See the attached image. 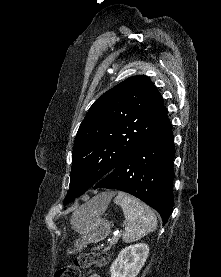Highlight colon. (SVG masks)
<instances>
[{
    "mask_svg": "<svg viewBox=\"0 0 221 277\" xmlns=\"http://www.w3.org/2000/svg\"><path fill=\"white\" fill-rule=\"evenodd\" d=\"M107 256L102 253H85L77 257L72 264L60 268L55 277H81V271L89 266H104Z\"/></svg>",
    "mask_w": 221,
    "mask_h": 277,
    "instance_id": "1",
    "label": "colon"
}]
</instances>
